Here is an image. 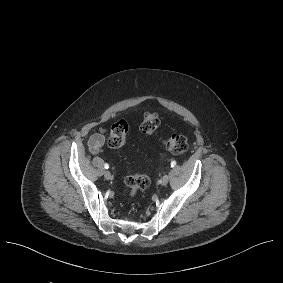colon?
<instances>
[{
	"mask_svg": "<svg viewBox=\"0 0 283 283\" xmlns=\"http://www.w3.org/2000/svg\"><path fill=\"white\" fill-rule=\"evenodd\" d=\"M160 124V118L157 113L148 112L144 115L140 124V131L145 135H153ZM129 127L126 121L119 120L115 122L110 130L108 144L114 149L122 148L128 137ZM164 147L174 155H181L188 149L187 139L184 135L173 133L163 140ZM129 188L130 196H134L138 191L145 190L150 185V179L143 173H134L125 179Z\"/></svg>",
	"mask_w": 283,
	"mask_h": 283,
	"instance_id": "5ec220e1",
	"label": "colon"
}]
</instances>
